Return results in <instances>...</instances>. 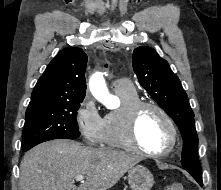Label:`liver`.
<instances>
[{"instance_id":"liver-1","label":"liver","mask_w":221,"mask_h":190,"mask_svg":"<svg viewBox=\"0 0 221 190\" xmlns=\"http://www.w3.org/2000/svg\"><path fill=\"white\" fill-rule=\"evenodd\" d=\"M143 157L101 147L53 140L28 151L20 164L21 190H107ZM78 175L85 176L79 187Z\"/></svg>"}]
</instances>
